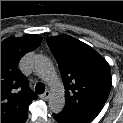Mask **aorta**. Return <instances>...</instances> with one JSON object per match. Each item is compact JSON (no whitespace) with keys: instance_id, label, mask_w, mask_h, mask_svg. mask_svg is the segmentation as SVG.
<instances>
[{"instance_id":"aorta-1","label":"aorta","mask_w":123,"mask_h":123,"mask_svg":"<svg viewBox=\"0 0 123 123\" xmlns=\"http://www.w3.org/2000/svg\"><path fill=\"white\" fill-rule=\"evenodd\" d=\"M32 67L37 76L44 80L50 88L49 109L54 113H59L65 106V92L51 60L44 55H36Z\"/></svg>"}]
</instances>
